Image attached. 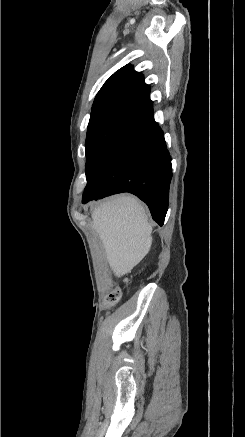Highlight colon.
Wrapping results in <instances>:
<instances>
[{
    "instance_id": "5ec220e1",
    "label": "colon",
    "mask_w": 245,
    "mask_h": 437,
    "mask_svg": "<svg viewBox=\"0 0 245 437\" xmlns=\"http://www.w3.org/2000/svg\"><path fill=\"white\" fill-rule=\"evenodd\" d=\"M120 297V293L118 291H113L107 298V304L109 306L115 305Z\"/></svg>"
}]
</instances>
